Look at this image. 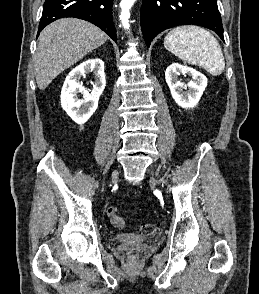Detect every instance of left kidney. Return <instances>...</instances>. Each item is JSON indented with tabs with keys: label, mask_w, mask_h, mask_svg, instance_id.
I'll return each mask as SVG.
<instances>
[{
	"label": "left kidney",
	"mask_w": 259,
	"mask_h": 294,
	"mask_svg": "<svg viewBox=\"0 0 259 294\" xmlns=\"http://www.w3.org/2000/svg\"><path fill=\"white\" fill-rule=\"evenodd\" d=\"M181 74L192 76V80L187 84L182 83L178 79ZM165 79L173 99L180 107L185 109L197 105L207 86V78L202 73L178 63H173L166 69Z\"/></svg>",
	"instance_id": "5707ae66"
}]
</instances>
